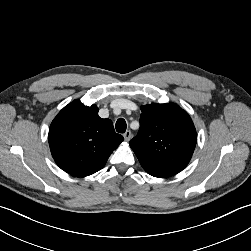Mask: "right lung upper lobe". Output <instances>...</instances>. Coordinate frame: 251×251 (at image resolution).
Segmentation results:
<instances>
[{"label":"right lung upper lobe","mask_w":251,"mask_h":251,"mask_svg":"<svg viewBox=\"0 0 251 251\" xmlns=\"http://www.w3.org/2000/svg\"><path fill=\"white\" fill-rule=\"evenodd\" d=\"M48 139L56 164L76 177L102 169L124 140L110 119L99 117L97 106H85L79 100L69 103L54 118Z\"/></svg>","instance_id":"cb5924a9"}]
</instances>
